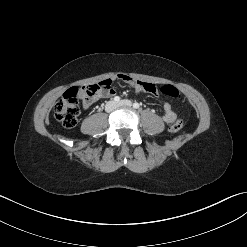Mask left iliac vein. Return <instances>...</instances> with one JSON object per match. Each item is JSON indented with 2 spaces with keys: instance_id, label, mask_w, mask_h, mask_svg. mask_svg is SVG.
I'll return each mask as SVG.
<instances>
[{
  "instance_id": "left-iliac-vein-1",
  "label": "left iliac vein",
  "mask_w": 247,
  "mask_h": 247,
  "mask_svg": "<svg viewBox=\"0 0 247 247\" xmlns=\"http://www.w3.org/2000/svg\"><path fill=\"white\" fill-rule=\"evenodd\" d=\"M117 106H126V107H131L132 103L130 100H122L119 103H117Z\"/></svg>"
}]
</instances>
